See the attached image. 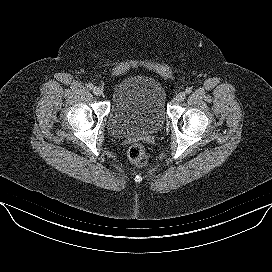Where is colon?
Segmentation results:
<instances>
[{
  "mask_svg": "<svg viewBox=\"0 0 272 272\" xmlns=\"http://www.w3.org/2000/svg\"><path fill=\"white\" fill-rule=\"evenodd\" d=\"M128 158L134 165L138 167H144L148 162L145 148L139 143L130 146L128 150Z\"/></svg>",
  "mask_w": 272,
  "mask_h": 272,
  "instance_id": "obj_1",
  "label": "colon"
}]
</instances>
